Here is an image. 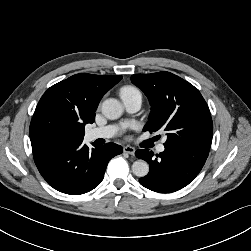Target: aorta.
<instances>
[{
	"mask_svg": "<svg viewBox=\"0 0 251 251\" xmlns=\"http://www.w3.org/2000/svg\"><path fill=\"white\" fill-rule=\"evenodd\" d=\"M101 111L106 118L114 120L122 115L123 106L117 99L109 98L102 103ZM132 172L137 177H144L149 172V165L144 160H137L132 164Z\"/></svg>",
	"mask_w": 251,
	"mask_h": 251,
	"instance_id": "762f6f07",
	"label": "aorta"
}]
</instances>
